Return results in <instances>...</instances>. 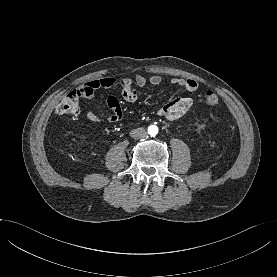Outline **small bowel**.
Wrapping results in <instances>:
<instances>
[{
	"label": "small bowel",
	"instance_id": "c3829d8e",
	"mask_svg": "<svg viewBox=\"0 0 277 277\" xmlns=\"http://www.w3.org/2000/svg\"><path fill=\"white\" fill-rule=\"evenodd\" d=\"M116 83L113 77H104L101 79H95L84 84L79 91L82 93V97L86 99H91L94 93L98 89H110ZM162 83V78L159 75H137L134 80L130 78H124L122 80L121 95L126 102H135L137 99V92L135 86L139 88H144L148 85L158 86ZM171 85L184 88L189 93L196 92L198 84L193 79L184 78H172L170 80ZM107 105L112 110V115L107 118H102L95 114L93 111L87 113V118L95 123H101L103 121L109 123H116L122 119V108L120 106L119 100L110 96L107 99ZM193 105V100L190 97L179 96L165 104L158 111V115L166 120L174 121L185 115Z\"/></svg>",
	"mask_w": 277,
	"mask_h": 277
}]
</instances>
